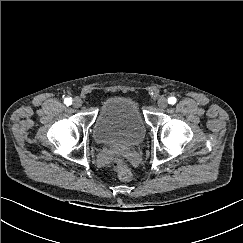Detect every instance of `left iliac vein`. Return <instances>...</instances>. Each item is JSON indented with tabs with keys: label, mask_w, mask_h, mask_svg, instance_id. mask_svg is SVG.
I'll use <instances>...</instances> for the list:
<instances>
[{
	"label": "left iliac vein",
	"mask_w": 243,
	"mask_h": 243,
	"mask_svg": "<svg viewBox=\"0 0 243 243\" xmlns=\"http://www.w3.org/2000/svg\"><path fill=\"white\" fill-rule=\"evenodd\" d=\"M157 105H158V107L161 108V109L166 108L167 105H168L167 99L164 98V97L159 98V100H158V102H157Z\"/></svg>",
	"instance_id": "left-iliac-vein-1"
}]
</instances>
